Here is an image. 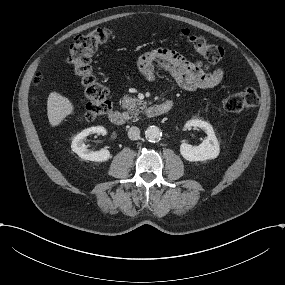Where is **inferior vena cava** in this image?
<instances>
[{"label":"inferior vena cava","instance_id":"1","mask_svg":"<svg viewBox=\"0 0 285 285\" xmlns=\"http://www.w3.org/2000/svg\"><path fill=\"white\" fill-rule=\"evenodd\" d=\"M128 137L131 140H137L140 138V129L136 126H132L128 131Z\"/></svg>","mask_w":285,"mask_h":285}]
</instances>
